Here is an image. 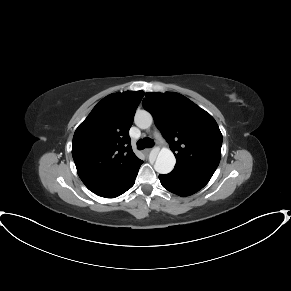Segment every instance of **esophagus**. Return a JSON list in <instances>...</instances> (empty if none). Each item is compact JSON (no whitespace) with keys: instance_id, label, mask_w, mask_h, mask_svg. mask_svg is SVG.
I'll return each mask as SVG.
<instances>
[{"instance_id":"esophagus-1","label":"esophagus","mask_w":291,"mask_h":291,"mask_svg":"<svg viewBox=\"0 0 291 291\" xmlns=\"http://www.w3.org/2000/svg\"><path fill=\"white\" fill-rule=\"evenodd\" d=\"M150 151H151V149H144V150H143L144 154H146V155L149 154Z\"/></svg>"}]
</instances>
